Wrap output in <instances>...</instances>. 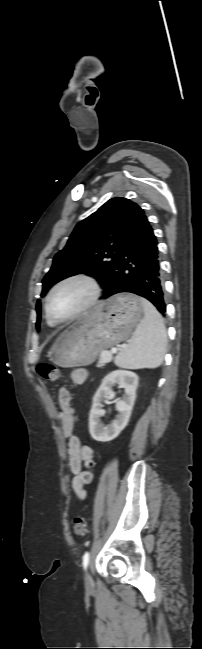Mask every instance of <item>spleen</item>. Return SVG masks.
<instances>
[{"instance_id":"obj_1","label":"spleen","mask_w":202,"mask_h":649,"mask_svg":"<svg viewBox=\"0 0 202 649\" xmlns=\"http://www.w3.org/2000/svg\"><path fill=\"white\" fill-rule=\"evenodd\" d=\"M144 317L137 325L131 342L115 358L120 368H156L161 365L167 344L162 316L157 309L141 298Z\"/></svg>"}]
</instances>
